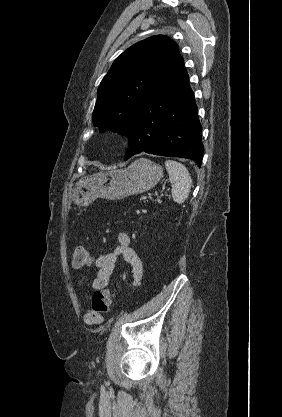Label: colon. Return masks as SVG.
I'll use <instances>...</instances> for the list:
<instances>
[{
	"label": "colon",
	"mask_w": 282,
	"mask_h": 417,
	"mask_svg": "<svg viewBox=\"0 0 282 417\" xmlns=\"http://www.w3.org/2000/svg\"><path fill=\"white\" fill-rule=\"evenodd\" d=\"M91 256L87 250L78 246L73 252V266L76 268L89 267L91 264ZM114 292L111 288L97 290L92 298V309L95 313L105 314L112 307V297Z\"/></svg>",
	"instance_id": "obj_1"
}]
</instances>
